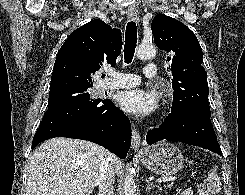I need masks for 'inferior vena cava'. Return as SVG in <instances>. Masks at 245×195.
Returning a JSON list of instances; mask_svg holds the SVG:
<instances>
[{
  "label": "inferior vena cava",
  "mask_w": 245,
  "mask_h": 195,
  "mask_svg": "<svg viewBox=\"0 0 245 195\" xmlns=\"http://www.w3.org/2000/svg\"><path fill=\"white\" fill-rule=\"evenodd\" d=\"M111 159L112 154L107 151L97 179V184L99 185L98 195H113L115 172Z\"/></svg>",
  "instance_id": "inferior-vena-cava-1"
}]
</instances>
